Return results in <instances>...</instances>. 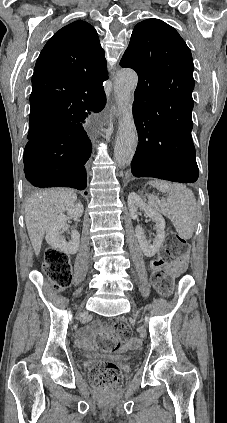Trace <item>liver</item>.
I'll return each mask as SVG.
<instances>
[{
	"label": "liver",
	"mask_w": 227,
	"mask_h": 423,
	"mask_svg": "<svg viewBox=\"0 0 227 423\" xmlns=\"http://www.w3.org/2000/svg\"><path fill=\"white\" fill-rule=\"evenodd\" d=\"M77 194L72 190H42L32 194L25 206V223L35 255L41 251L46 229L59 213L74 206Z\"/></svg>",
	"instance_id": "obj_1"
}]
</instances>
